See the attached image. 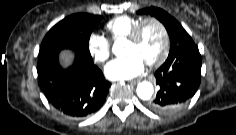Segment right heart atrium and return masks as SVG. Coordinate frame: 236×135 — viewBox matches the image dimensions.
<instances>
[{"mask_svg":"<svg viewBox=\"0 0 236 135\" xmlns=\"http://www.w3.org/2000/svg\"><path fill=\"white\" fill-rule=\"evenodd\" d=\"M88 51L97 64H103L110 55V41L103 35L93 32L87 40Z\"/></svg>","mask_w":236,"mask_h":135,"instance_id":"1","label":"right heart atrium"}]
</instances>
